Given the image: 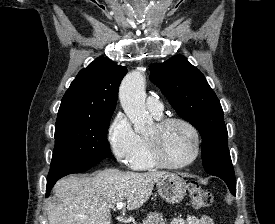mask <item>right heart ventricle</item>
<instances>
[{"label": "right heart ventricle", "instance_id": "right-heart-ventricle-1", "mask_svg": "<svg viewBox=\"0 0 275 224\" xmlns=\"http://www.w3.org/2000/svg\"><path fill=\"white\" fill-rule=\"evenodd\" d=\"M152 115L156 119L161 118V115H156L153 113ZM129 164L131 168L136 170H151L158 167L151 159L145 135L139 136L138 148L134 153V155L129 160Z\"/></svg>", "mask_w": 275, "mask_h": 224}]
</instances>
